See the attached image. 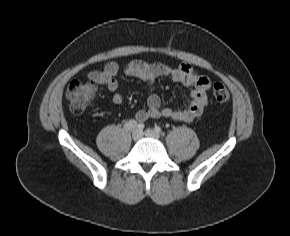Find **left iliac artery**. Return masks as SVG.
Listing matches in <instances>:
<instances>
[{
  "label": "left iliac artery",
  "instance_id": "1",
  "mask_svg": "<svg viewBox=\"0 0 290 236\" xmlns=\"http://www.w3.org/2000/svg\"><path fill=\"white\" fill-rule=\"evenodd\" d=\"M155 131L158 132V133H161L162 129L159 126H155Z\"/></svg>",
  "mask_w": 290,
  "mask_h": 236
}]
</instances>
